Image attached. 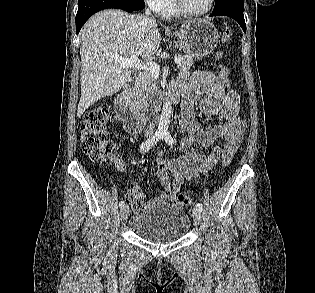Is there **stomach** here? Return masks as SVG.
Instances as JSON below:
<instances>
[{
	"label": "stomach",
	"mask_w": 315,
	"mask_h": 293,
	"mask_svg": "<svg viewBox=\"0 0 315 293\" xmlns=\"http://www.w3.org/2000/svg\"><path fill=\"white\" fill-rule=\"evenodd\" d=\"M180 49L190 58L201 60L214 51L219 42L216 27L206 20H192L175 32Z\"/></svg>",
	"instance_id": "0dacf381"
}]
</instances>
